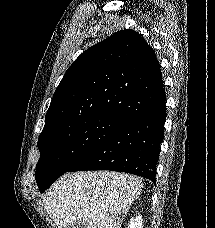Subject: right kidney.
<instances>
[{"label":"right kidney","instance_id":"1","mask_svg":"<svg viewBox=\"0 0 215 228\" xmlns=\"http://www.w3.org/2000/svg\"><path fill=\"white\" fill-rule=\"evenodd\" d=\"M128 228H143V220L140 214H137L135 218H130Z\"/></svg>","mask_w":215,"mask_h":228}]
</instances>
